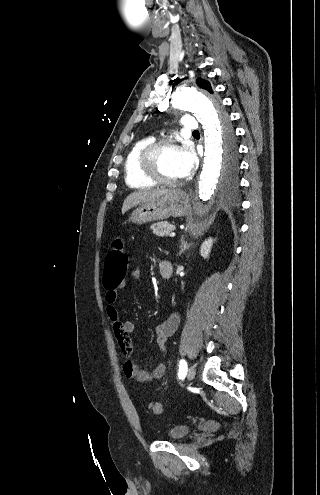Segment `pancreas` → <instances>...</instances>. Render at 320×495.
I'll return each instance as SVG.
<instances>
[{
    "label": "pancreas",
    "instance_id": "pancreas-1",
    "mask_svg": "<svg viewBox=\"0 0 320 495\" xmlns=\"http://www.w3.org/2000/svg\"><path fill=\"white\" fill-rule=\"evenodd\" d=\"M150 229H152L153 233L157 236L163 237L170 235L175 230V226L167 221H161L152 224Z\"/></svg>",
    "mask_w": 320,
    "mask_h": 495
}]
</instances>
